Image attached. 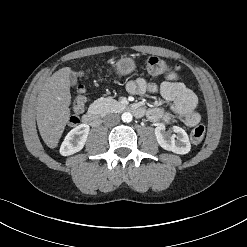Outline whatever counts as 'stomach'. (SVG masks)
Returning a JSON list of instances; mask_svg holds the SVG:
<instances>
[{"instance_id":"stomach-1","label":"stomach","mask_w":247,"mask_h":247,"mask_svg":"<svg viewBox=\"0 0 247 247\" xmlns=\"http://www.w3.org/2000/svg\"><path fill=\"white\" fill-rule=\"evenodd\" d=\"M136 68L135 62L130 58H122L115 64L116 72L121 75H128L132 73Z\"/></svg>"}]
</instances>
